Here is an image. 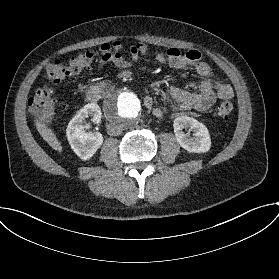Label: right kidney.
Here are the masks:
<instances>
[{
	"mask_svg": "<svg viewBox=\"0 0 279 279\" xmlns=\"http://www.w3.org/2000/svg\"><path fill=\"white\" fill-rule=\"evenodd\" d=\"M89 117L94 123H100L102 115L98 105L91 103L80 109L70 120L66 131L71 148L83 161L90 160L104 142L101 133L88 131V125L84 123Z\"/></svg>",
	"mask_w": 279,
	"mask_h": 279,
	"instance_id": "1",
	"label": "right kidney"
}]
</instances>
